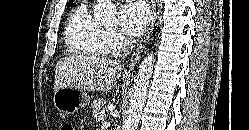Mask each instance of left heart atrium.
Segmentation results:
<instances>
[{
    "label": "left heart atrium",
    "mask_w": 249,
    "mask_h": 130,
    "mask_svg": "<svg viewBox=\"0 0 249 130\" xmlns=\"http://www.w3.org/2000/svg\"><path fill=\"white\" fill-rule=\"evenodd\" d=\"M149 20V10L142 2H131L120 9L121 26L131 37L141 35L146 30Z\"/></svg>",
    "instance_id": "left-heart-atrium-1"
}]
</instances>
